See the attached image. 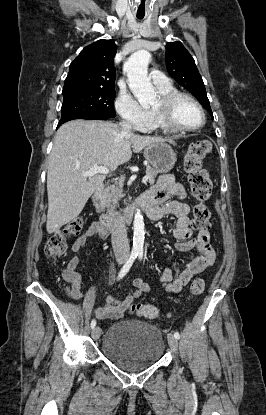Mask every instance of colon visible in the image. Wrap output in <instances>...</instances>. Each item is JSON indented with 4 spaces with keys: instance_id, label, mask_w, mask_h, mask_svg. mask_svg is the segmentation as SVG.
<instances>
[{
    "instance_id": "1",
    "label": "colon",
    "mask_w": 266,
    "mask_h": 415,
    "mask_svg": "<svg viewBox=\"0 0 266 415\" xmlns=\"http://www.w3.org/2000/svg\"><path fill=\"white\" fill-rule=\"evenodd\" d=\"M212 150V144L208 140L198 141L190 145L184 157V170L187 174L192 196L196 200L193 207L194 229L204 230L209 228L211 213L206 202L211 196L212 182L203 168V160ZM83 219L75 217L67 223L62 231L55 233L46 243L44 252L48 258H60L67 252V239L78 235L83 228ZM205 283L201 278L195 279L190 286L191 296H198L204 291ZM131 312L148 319L157 317L158 310L150 304H134Z\"/></svg>"
}]
</instances>
